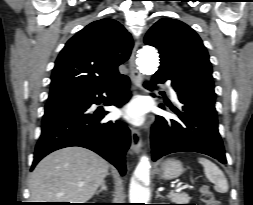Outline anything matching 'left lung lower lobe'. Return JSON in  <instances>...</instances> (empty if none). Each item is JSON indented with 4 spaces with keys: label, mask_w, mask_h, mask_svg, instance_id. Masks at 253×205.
<instances>
[{
    "label": "left lung lower lobe",
    "mask_w": 253,
    "mask_h": 205,
    "mask_svg": "<svg viewBox=\"0 0 253 205\" xmlns=\"http://www.w3.org/2000/svg\"><path fill=\"white\" fill-rule=\"evenodd\" d=\"M152 80L153 84L171 80L181 104L180 109L170 104L159 106L165 111H173L177 117H156L151 134L153 160L169 153L192 151L209 155L226 164L218 132L215 99L194 89L166 67H160Z\"/></svg>",
    "instance_id": "0a47b994"
}]
</instances>
